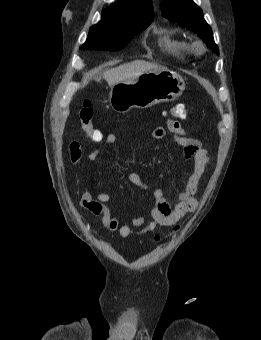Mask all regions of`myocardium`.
I'll return each mask as SVG.
<instances>
[{
    "label": "myocardium",
    "instance_id": "obj_1",
    "mask_svg": "<svg viewBox=\"0 0 261 340\" xmlns=\"http://www.w3.org/2000/svg\"><path fill=\"white\" fill-rule=\"evenodd\" d=\"M193 50L197 53H200L203 51V45L201 42H196L193 44Z\"/></svg>",
    "mask_w": 261,
    "mask_h": 340
}]
</instances>
